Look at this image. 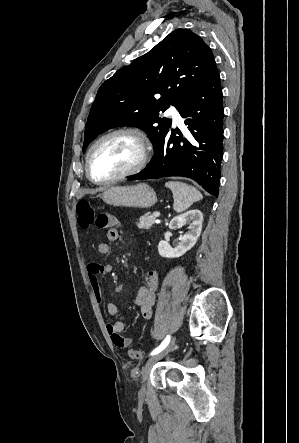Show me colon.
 <instances>
[{"label": "colon", "mask_w": 299, "mask_h": 443, "mask_svg": "<svg viewBox=\"0 0 299 443\" xmlns=\"http://www.w3.org/2000/svg\"><path fill=\"white\" fill-rule=\"evenodd\" d=\"M76 212L78 215V224L81 229H89L95 224L97 225L95 210L87 200L78 201ZM128 355L130 358L136 360H142L144 358L143 352L136 348L129 349Z\"/></svg>", "instance_id": "1"}]
</instances>
